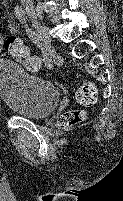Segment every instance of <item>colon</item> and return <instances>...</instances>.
<instances>
[{
  "instance_id": "5ec220e1",
  "label": "colon",
  "mask_w": 123,
  "mask_h": 201,
  "mask_svg": "<svg viewBox=\"0 0 123 201\" xmlns=\"http://www.w3.org/2000/svg\"><path fill=\"white\" fill-rule=\"evenodd\" d=\"M3 47L13 58L22 62L28 69L36 70L40 64L36 57L32 56L28 48L22 41L15 36H8ZM76 101L78 104L86 107L93 106L98 101V93L96 87L91 82H84L76 92ZM85 118L83 111H70L62 114L59 118V126L68 129L80 124Z\"/></svg>"
}]
</instances>
